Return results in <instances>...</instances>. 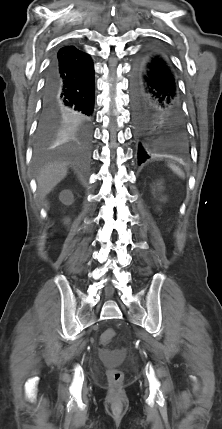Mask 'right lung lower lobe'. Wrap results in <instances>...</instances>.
Masks as SVG:
<instances>
[{
    "mask_svg": "<svg viewBox=\"0 0 222 429\" xmlns=\"http://www.w3.org/2000/svg\"><path fill=\"white\" fill-rule=\"evenodd\" d=\"M93 107L91 58L74 46L61 48L47 69L39 127L73 129L87 135Z\"/></svg>",
    "mask_w": 222,
    "mask_h": 429,
    "instance_id": "1",
    "label": "right lung lower lobe"
}]
</instances>
